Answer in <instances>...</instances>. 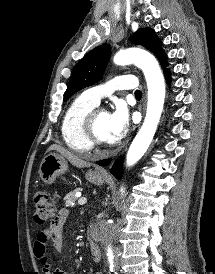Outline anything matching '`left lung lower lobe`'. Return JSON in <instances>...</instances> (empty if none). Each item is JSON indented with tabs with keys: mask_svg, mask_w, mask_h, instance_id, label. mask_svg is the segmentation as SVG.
<instances>
[{
	"mask_svg": "<svg viewBox=\"0 0 215 274\" xmlns=\"http://www.w3.org/2000/svg\"><path fill=\"white\" fill-rule=\"evenodd\" d=\"M165 76L169 82L170 80V73H169V70L167 69L165 71ZM111 159H105V160H101V161H98L97 164L101 165V166H105V165H108L110 163ZM111 173L116 177V178H120V175L122 173V159H118L112 169H111Z\"/></svg>",
	"mask_w": 215,
	"mask_h": 274,
	"instance_id": "obj_1",
	"label": "left lung lower lobe"
}]
</instances>
